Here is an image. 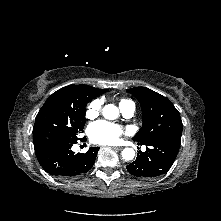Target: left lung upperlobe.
I'll return each instance as SVG.
<instances>
[{
  "mask_svg": "<svg viewBox=\"0 0 221 221\" xmlns=\"http://www.w3.org/2000/svg\"><path fill=\"white\" fill-rule=\"evenodd\" d=\"M141 104L143 126L133 137L134 141L143 143L147 140L173 136L181 139L182 121L174 105L166 97L145 87L127 89Z\"/></svg>",
  "mask_w": 221,
  "mask_h": 221,
  "instance_id": "left-lung-upper-lobe-1",
  "label": "left lung upper lobe"
}]
</instances>
